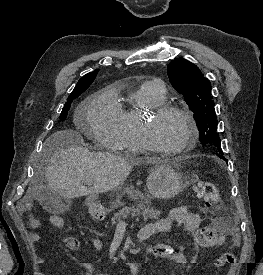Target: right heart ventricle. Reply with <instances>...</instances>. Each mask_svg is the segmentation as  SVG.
<instances>
[{
    "mask_svg": "<svg viewBox=\"0 0 263 275\" xmlns=\"http://www.w3.org/2000/svg\"><path fill=\"white\" fill-rule=\"evenodd\" d=\"M164 99V94H161L155 86L143 83L130 92L127 106L118 105L120 149L131 154H140L146 151L140 131L143 113L148 108L162 104Z\"/></svg>",
    "mask_w": 263,
    "mask_h": 275,
    "instance_id": "e07e8e85",
    "label": "right heart ventricle"
}]
</instances>
